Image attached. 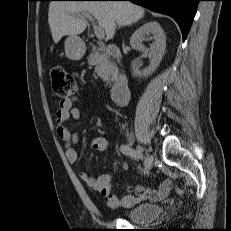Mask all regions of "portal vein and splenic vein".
Returning a JSON list of instances; mask_svg holds the SVG:
<instances>
[{
    "label": "portal vein and splenic vein",
    "instance_id": "18ae733b",
    "mask_svg": "<svg viewBox=\"0 0 231 231\" xmlns=\"http://www.w3.org/2000/svg\"><path fill=\"white\" fill-rule=\"evenodd\" d=\"M82 17H83V18L89 19V21L93 24V28H94L95 35H96V37H97L99 40H101V39H103V38L105 37L103 28L97 26V25L94 23V20L92 19V17H91L89 14L83 13V14H82Z\"/></svg>",
    "mask_w": 231,
    "mask_h": 231
}]
</instances>
